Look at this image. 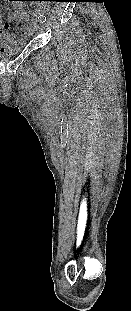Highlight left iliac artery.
Wrapping results in <instances>:
<instances>
[{
  "label": "left iliac artery",
  "mask_w": 131,
  "mask_h": 311,
  "mask_svg": "<svg viewBox=\"0 0 131 311\" xmlns=\"http://www.w3.org/2000/svg\"><path fill=\"white\" fill-rule=\"evenodd\" d=\"M38 19H40V22L42 23L46 21V17L44 15H40V18Z\"/></svg>",
  "instance_id": "obj_1"
}]
</instances>
